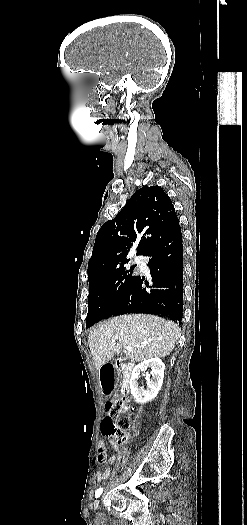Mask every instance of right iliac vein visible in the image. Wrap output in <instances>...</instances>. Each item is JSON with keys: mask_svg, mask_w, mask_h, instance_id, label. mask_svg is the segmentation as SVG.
Here are the masks:
<instances>
[{"mask_svg": "<svg viewBox=\"0 0 247 525\" xmlns=\"http://www.w3.org/2000/svg\"><path fill=\"white\" fill-rule=\"evenodd\" d=\"M98 504H99V500L97 499V500L95 501V503H94L95 507H97Z\"/></svg>", "mask_w": 247, "mask_h": 525, "instance_id": "1", "label": "right iliac vein"}]
</instances>
